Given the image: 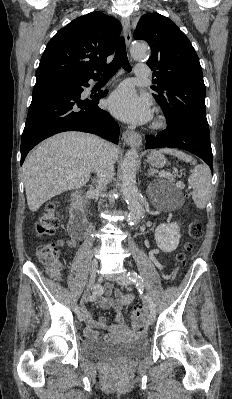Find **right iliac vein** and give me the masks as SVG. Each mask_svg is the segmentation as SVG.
Masks as SVG:
<instances>
[{
    "mask_svg": "<svg viewBox=\"0 0 232 399\" xmlns=\"http://www.w3.org/2000/svg\"><path fill=\"white\" fill-rule=\"evenodd\" d=\"M91 271H90V276H89V281L88 284L89 285H94L96 283V276H97V272H98V264L95 261L91 262ZM85 318L84 314H79L77 319L81 320Z\"/></svg>",
    "mask_w": 232,
    "mask_h": 399,
    "instance_id": "obj_1",
    "label": "right iliac vein"
}]
</instances>
